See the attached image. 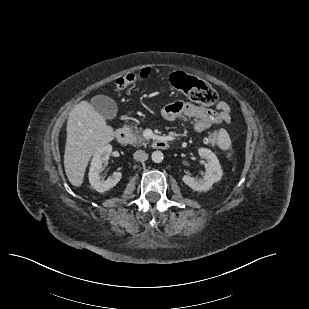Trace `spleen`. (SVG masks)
<instances>
[{"instance_id":"obj_1","label":"spleen","mask_w":309,"mask_h":309,"mask_svg":"<svg viewBox=\"0 0 309 309\" xmlns=\"http://www.w3.org/2000/svg\"><path fill=\"white\" fill-rule=\"evenodd\" d=\"M218 145L223 150L228 149L231 145L230 138L225 130L220 131ZM228 157H230V154H228Z\"/></svg>"}]
</instances>
